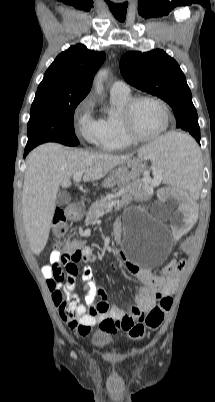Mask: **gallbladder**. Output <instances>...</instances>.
<instances>
[{"label": "gallbladder", "mask_w": 215, "mask_h": 402, "mask_svg": "<svg viewBox=\"0 0 215 402\" xmlns=\"http://www.w3.org/2000/svg\"><path fill=\"white\" fill-rule=\"evenodd\" d=\"M71 201V197L66 192H59L57 194L56 203L58 205H66Z\"/></svg>", "instance_id": "bac80fb5"}]
</instances>
